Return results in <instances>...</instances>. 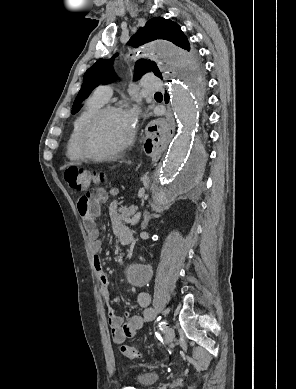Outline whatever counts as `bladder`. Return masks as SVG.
Returning <instances> with one entry per match:
<instances>
[{
	"label": "bladder",
	"mask_w": 296,
	"mask_h": 389,
	"mask_svg": "<svg viewBox=\"0 0 296 389\" xmlns=\"http://www.w3.org/2000/svg\"><path fill=\"white\" fill-rule=\"evenodd\" d=\"M158 379L155 373H142L137 377V382L141 386H150L154 384Z\"/></svg>",
	"instance_id": "obj_1"
}]
</instances>
